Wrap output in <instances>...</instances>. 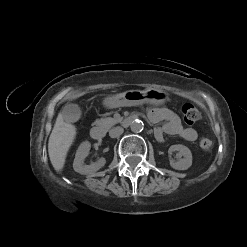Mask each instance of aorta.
<instances>
[{"instance_id": "aorta-1", "label": "aorta", "mask_w": 247, "mask_h": 247, "mask_svg": "<svg viewBox=\"0 0 247 247\" xmlns=\"http://www.w3.org/2000/svg\"><path fill=\"white\" fill-rule=\"evenodd\" d=\"M143 128H144V123L139 119L134 120L130 124V129L134 133H140L143 130Z\"/></svg>"}]
</instances>
